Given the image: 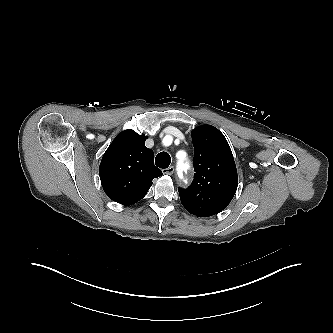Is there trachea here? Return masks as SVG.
<instances>
[{
	"label": "trachea",
	"instance_id": "3493384b",
	"mask_svg": "<svg viewBox=\"0 0 333 333\" xmlns=\"http://www.w3.org/2000/svg\"><path fill=\"white\" fill-rule=\"evenodd\" d=\"M170 163L171 157L167 152H160L155 158V164L160 168H168Z\"/></svg>",
	"mask_w": 333,
	"mask_h": 333
}]
</instances>
